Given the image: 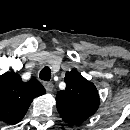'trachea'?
Segmentation results:
<instances>
[{
  "label": "trachea",
  "mask_w": 130,
  "mask_h": 130,
  "mask_svg": "<svg viewBox=\"0 0 130 130\" xmlns=\"http://www.w3.org/2000/svg\"><path fill=\"white\" fill-rule=\"evenodd\" d=\"M39 77L41 80H44V81H49L51 79V70L49 67H44L40 74H39Z\"/></svg>",
  "instance_id": "3493384b"
}]
</instances>
